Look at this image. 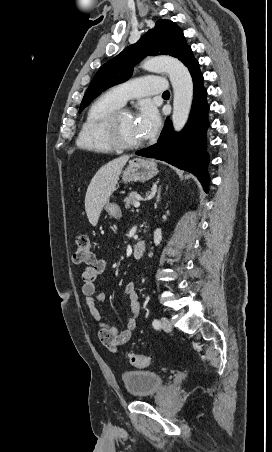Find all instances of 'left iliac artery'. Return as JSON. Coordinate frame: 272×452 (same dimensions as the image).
I'll use <instances>...</instances> for the list:
<instances>
[{"label":"left iliac artery","mask_w":272,"mask_h":452,"mask_svg":"<svg viewBox=\"0 0 272 452\" xmlns=\"http://www.w3.org/2000/svg\"><path fill=\"white\" fill-rule=\"evenodd\" d=\"M152 325L155 329H160L161 327L160 321L158 319H154Z\"/></svg>","instance_id":"obj_1"}]
</instances>
